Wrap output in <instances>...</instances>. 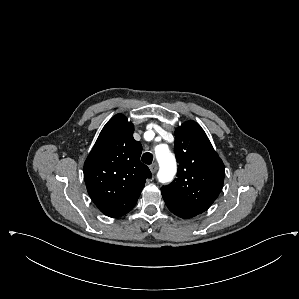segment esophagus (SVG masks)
Instances as JSON below:
<instances>
[{
    "label": "esophagus",
    "instance_id": "esophagus-1",
    "mask_svg": "<svg viewBox=\"0 0 299 299\" xmlns=\"http://www.w3.org/2000/svg\"><path fill=\"white\" fill-rule=\"evenodd\" d=\"M150 170L152 173H155L158 170V164L153 163L152 165L149 166Z\"/></svg>",
    "mask_w": 299,
    "mask_h": 299
}]
</instances>
